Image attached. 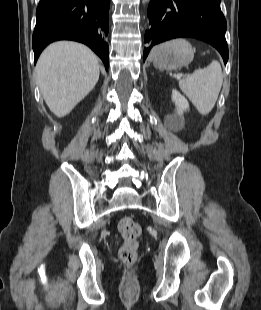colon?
I'll use <instances>...</instances> for the list:
<instances>
[{"label": "colon", "mask_w": 261, "mask_h": 310, "mask_svg": "<svg viewBox=\"0 0 261 310\" xmlns=\"http://www.w3.org/2000/svg\"><path fill=\"white\" fill-rule=\"evenodd\" d=\"M118 230L123 239V244L118 252L119 257L125 264H134L137 260L138 238L142 232L141 226L134 218L125 216L120 219Z\"/></svg>", "instance_id": "colon-1"}]
</instances>
